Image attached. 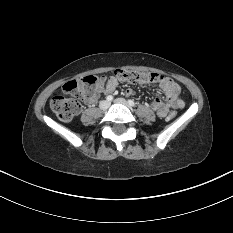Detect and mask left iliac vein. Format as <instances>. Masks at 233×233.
Listing matches in <instances>:
<instances>
[{"label": "left iliac vein", "instance_id": "left-iliac-vein-1", "mask_svg": "<svg viewBox=\"0 0 233 233\" xmlns=\"http://www.w3.org/2000/svg\"><path fill=\"white\" fill-rule=\"evenodd\" d=\"M114 102L122 104L124 106H129L128 102L125 99H123V98H117V99H115Z\"/></svg>", "mask_w": 233, "mask_h": 233}]
</instances>
